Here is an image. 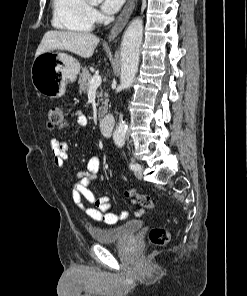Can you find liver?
I'll return each instance as SVG.
<instances>
[{"mask_svg": "<svg viewBox=\"0 0 247 296\" xmlns=\"http://www.w3.org/2000/svg\"><path fill=\"white\" fill-rule=\"evenodd\" d=\"M99 41V38L91 33L48 31L43 36L35 57L53 50H64L82 58H89L93 55Z\"/></svg>", "mask_w": 247, "mask_h": 296, "instance_id": "obj_1", "label": "liver"}]
</instances>
